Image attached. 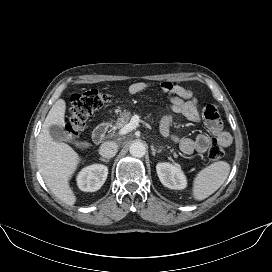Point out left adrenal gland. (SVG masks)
Segmentation results:
<instances>
[{
	"label": "left adrenal gland",
	"mask_w": 272,
	"mask_h": 272,
	"mask_svg": "<svg viewBox=\"0 0 272 272\" xmlns=\"http://www.w3.org/2000/svg\"><path fill=\"white\" fill-rule=\"evenodd\" d=\"M151 151H152V155H153V156H155V155H156V153H160V152L162 151V149H158V150H156V149L154 148V146H153V145H151Z\"/></svg>",
	"instance_id": "a2214340"
}]
</instances>
